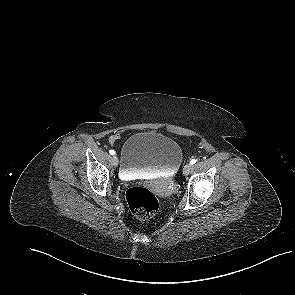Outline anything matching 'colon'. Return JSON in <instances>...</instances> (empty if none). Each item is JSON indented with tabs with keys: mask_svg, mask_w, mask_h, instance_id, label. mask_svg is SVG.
<instances>
[{
	"mask_svg": "<svg viewBox=\"0 0 295 295\" xmlns=\"http://www.w3.org/2000/svg\"><path fill=\"white\" fill-rule=\"evenodd\" d=\"M125 197L130 211L140 220H147L158 211L159 203L156 196L146 188L131 187L126 191Z\"/></svg>",
	"mask_w": 295,
	"mask_h": 295,
	"instance_id": "colon-1",
	"label": "colon"
}]
</instances>
